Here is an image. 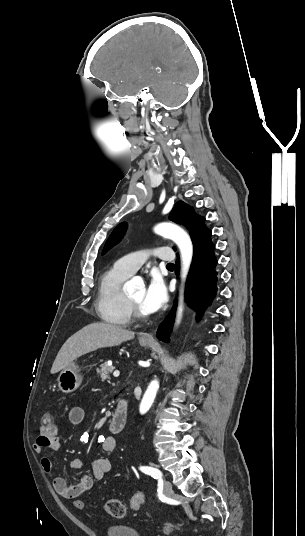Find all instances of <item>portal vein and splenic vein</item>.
Segmentation results:
<instances>
[{"mask_svg":"<svg viewBox=\"0 0 305 536\" xmlns=\"http://www.w3.org/2000/svg\"><path fill=\"white\" fill-rule=\"evenodd\" d=\"M113 376H114V378H118V376H120L119 370H115Z\"/></svg>","mask_w":305,"mask_h":536,"instance_id":"portal-vein-and-splenic-vein-1","label":"portal vein and splenic vein"}]
</instances>
